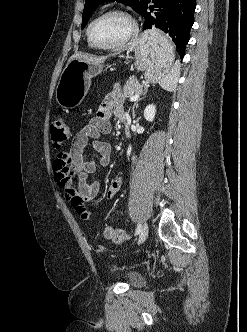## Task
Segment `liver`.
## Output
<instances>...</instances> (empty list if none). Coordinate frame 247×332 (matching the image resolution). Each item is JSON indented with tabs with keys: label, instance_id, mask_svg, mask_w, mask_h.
<instances>
[{
	"label": "liver",
	"instance_id": "obj_1",
	"mask_svg": "<svg viewBox=\"0 0 247 332\" xmlns=\"http://www.w3.org/2000/svg\"><path fill=\"white\" fill-rule=\"evenodd\" d=\"M73 59H79L88 63H102L107 59V57H95L88 54L75 53L70 57L69 61Z\"/></svg>",
	"mask_w": 247,
	"mask_h": 332
}]
</instances>
